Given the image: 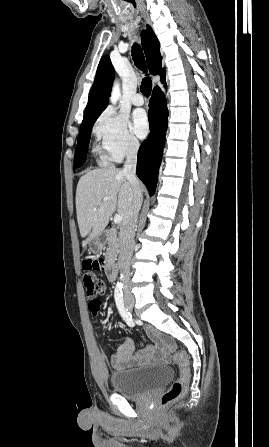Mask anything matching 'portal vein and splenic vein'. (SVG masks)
I'll return each mask as SVG.
<instances>
[{"mask_svg": "<svg viewBox=\"0 0 269 447\" xmlns=\"http://www.w3.org/2000/svg\"><path fill=\"white\" fill-rule=\"evenodd\" d=\"M104 202H107L108 198H103ZM93 210H96V208H93ZM122 222V216H119V214H116L114 216V224H121Z\"/></svg>", "mask_w": 269, "mask_h": 447, "instance_id": "1", "label": "portal vein and splenic vein"}]
</instances>
